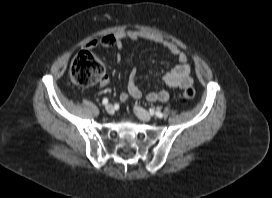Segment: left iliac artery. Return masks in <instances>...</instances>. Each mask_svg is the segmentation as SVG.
<instances>
[{"mask_svg": "<svg viewBox=\"0 0 272 198\" xmlns=\"http://www.w3.org/2000/svg\"><path fill=\"white\" fill-rule=\"evenodd\" d=\"M149 111L151 114H155L159 118L163 117V114L160 111H154L153 109H150Z\"/></svg>", "mask_w": 272, "mask_h": 198, "instance_id": "44dca946", "label": "left iliac artery"}]
</instances>
